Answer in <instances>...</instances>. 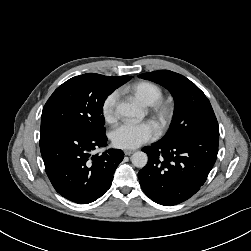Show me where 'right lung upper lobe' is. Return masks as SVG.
I'll list each match as a JSON object with an SVG mask.
<instances>
[{"instance_id":"obj_1","label":"right lung upper lobe","mask_w":251,"mask_h":251,"mask_svg":"<svg viewBox=\"0 0 251 251\" xmlns=\"http://www.w3.org/2000/svg\"><path fill=\"white\" fill-rule=\"evenodd\" d=\"M109 77V76H108ZM112 81H114L115 83H117L119 86L123 85L124 83H126L127 81H129L131 79V76H119V77H109Z\"/></svg>"}]
</instances>
